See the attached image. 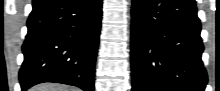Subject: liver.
<instances>
[{
	"instance_id": "6515ba94",
	"label": "liver",
	"mask_w": 220,
	"mask_h": 91,
	"mask_svg": "<svg viewBox=\"0 0 220 91\" xmlns=\"http://www.w3.org/2000/svg\"><path fill=\"white\" fill-rule=\"evenodd\" d=\"M30 91H79L76 88L52 83L39 84L31 88Z\"/></svg>"
}]
</instances>
